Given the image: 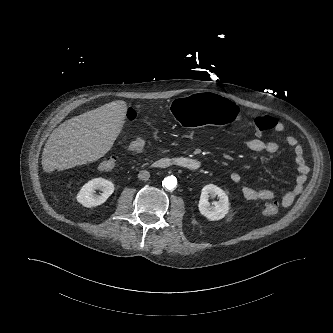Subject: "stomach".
Wrapping results in <instances>:
<instances>
[{"label": "stomach", "mask_w": 333, "mask_h": 333, "mask_svg": "<svg viewBox=\"0 0 333 333\" xmlns=\"http://www.w3.org/2000/svg\"><path fill=\"white\" fill-rule=\"evenodd\" d=\"M170 110L183 125L197 122L204 125H225L232 122L237 113L232 99L211 92L176 98L171 103Z\"/></svg>", "instance_id": "0dacf381"}]
</instances>
